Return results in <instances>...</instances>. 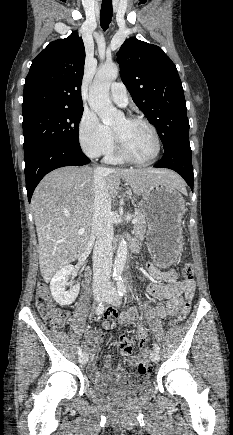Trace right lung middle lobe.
Here are the masks:
<instances>
[{"mask_svg": "<svg viewBox=\"0 0 233 435\" xmlns=\"http://www.w3.org/2000/svg\"><path fill=\"white\" fill-rule=\"evenodd\" d=\"M82 114L83 108H60L23 116L24 151L45 143L80 148L78 131Z\"/></svg>", "mask_w": 233, "mask_h": 435, "instance_id": "obj_1", "label": "right lung middle lobe"}]
</instances>
